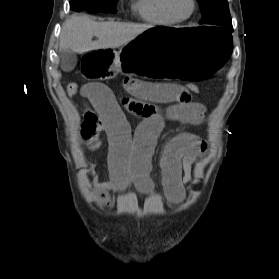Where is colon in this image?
Segmentation results:
<instances>
[{"label":"colon","instance_id":"colon-1","mask_svg":"<svg viewBox=\"0 0 279 279\" xmlns=\"http://www.w3.org/2000/svg\"><path fill=\"white\" fill-rule=\"evenodd\" d=\"M66 90L69 96L79 95L81 91V87L77 83H69L66 86ZM199 92V87L196 84H187L184 87L183 93L186 96H191ZM123 98V97H122Z\"/></svg>","mask_w":279,"mask_h":279}]
</instances>
